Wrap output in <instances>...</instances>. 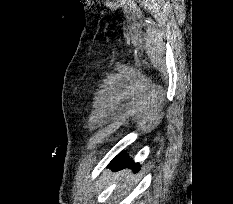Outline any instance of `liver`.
I'll return each mask as SVG.
<instances>
[{"label":"liver","mask_w":233,"mask_h":204,"mask_svg":"<svg viewBox=\"0 0 233 204\" xmlns=\"http://www.w3.org/2000/svg\"><path fill=\"white\" fill-rule=\"evenodd\" d=\"M119 177L122 178L123 182L121 185H118L121 187V189L125 188L127 184L131 185L133 182V175L129 170L117 173V175L114 177V180H116Z\"/></svg>","instance_id":"6515ba94"}]
</instances>
